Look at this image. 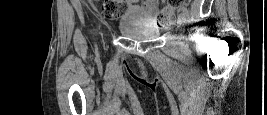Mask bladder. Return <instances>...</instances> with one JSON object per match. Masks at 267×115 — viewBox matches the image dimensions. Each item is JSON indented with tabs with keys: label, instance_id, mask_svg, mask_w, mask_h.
Wrapping results in <instances>:
<instances>
[{
	"label": "bladder",
	"instance_id": "obj_1",
	"mask_svg": "<svg viewBox=\"0 0 267 115\" xmlns=\"http://www.w3.org/2000/svg\"><path fill=\"white\" fill-rule=\"evenodd\" d=\"M120 32L133 39H152L156 38L160 30L157 26L151 24H121Z\"/></svg>",
	"mask_w": 267,
	"mask_h": 115
}]
</instances>
